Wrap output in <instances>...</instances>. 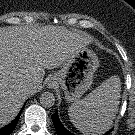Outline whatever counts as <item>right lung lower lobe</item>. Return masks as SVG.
I'll return each instance as SVG.
<instances>
[{
	"mask_svg": "<svg viewBox=\"0 0 135 135\" xmlns=\"http://www.w3.org/2000/svg\"><path fill=\"white\" fill-rule=\"evenodd\" d=\"M21 112H22V110L20 111V113L17 115V117L10 124L3 127L2 129H0V135H10V133L14 130V128L19 120Z\"/></svg>",
	"mask_w": 135,
	"mask_h": 135,
	"instance_id": "obj_1",
	"label": "right lung lower lobe"
}]
</instances>
